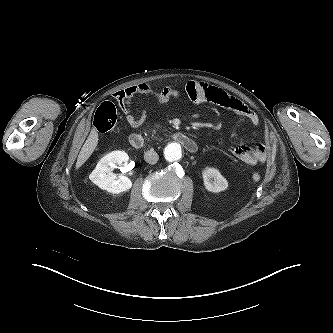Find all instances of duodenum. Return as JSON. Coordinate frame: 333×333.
I'll list each match as a JSON object with an SVG mask.
<instances>
[{
  "mask_svg": "<svg viewBox=\"0 0 333 333\" xmlns=\"http://www.w3.org/2000/svg\"><path fill=\"white\" fill-rule=\"evenodd\" d=\"M171 138L178 142L186 151L190 153H195L198 149V146L194 139H192L190 136L187 134L181 132V131H176L171 135ZM129 142L130 145L133 148L140 149L146 145V140L145 138L137 133H133L129 137Z\"/></svg>",
  "mask_w": 333,
  "mask_h": 333,
  "instance_id": "410a0bca",
  "label": "duodenum"
}]
</instances>
